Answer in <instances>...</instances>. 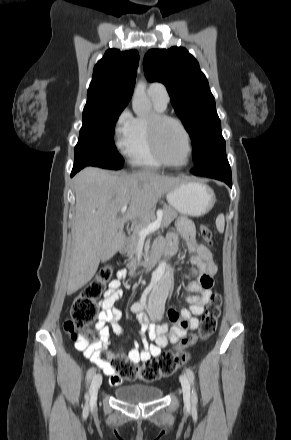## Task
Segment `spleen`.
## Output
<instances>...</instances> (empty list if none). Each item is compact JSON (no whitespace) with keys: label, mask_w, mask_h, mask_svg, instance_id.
I'll return each instance as SVG.
<instances>
[{"label":"spleen","mask_w":291,"mask_h":440,"mask_svg":"<svg viewBox=\"0 0 291 440\" xmlns=\"http://www.w3.org/2000/svg\"><path fill=\"white\" fill-rule=\"evenodd\" d=\"M216 227L220 233L224 232L225 218L223 214L218 215V217L216 218Z\"/></svg>","instance_id":"spleen-1"}]
</instances>
